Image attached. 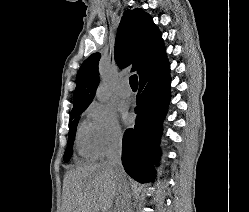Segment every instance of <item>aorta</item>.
I'll return each instance as SVG.
<instances>
[{
    "instance_id": "1",
    "label": "aorta",
    "mask_w": 249,
    "mask_h": 212,
    "mask_svg": "<svg viewBox=\"0 0 249 212\" xmlns=\"http://www.w3.org/2000/svg\"><path fill=\"white\" fill-rule=\"evenodd\" d=\"M96 97L99 102L106 103L109 99V90L106 84L102 83L97 89Z\"/></svg>"
}]
</instances>
